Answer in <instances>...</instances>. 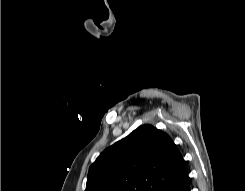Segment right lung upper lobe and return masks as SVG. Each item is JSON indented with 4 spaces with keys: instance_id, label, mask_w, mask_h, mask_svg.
<instances>
[{
    "instance_id": "1",
    "label": "right lung upper lobe",
    "mask_w": 245,
    "mask_h": 191,
    "mask_svg": "<svg viewBox=\"0 0 245 191\" xmlns=\"http://www.w3.org/2000/svg\"><path fill=\"white\" fill-rule=\"evenodd\" d=\"M187 174L169 135L146 124L100 154L85 191H162Z\"/></svg>"
}]
</instances>
